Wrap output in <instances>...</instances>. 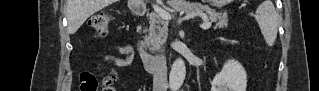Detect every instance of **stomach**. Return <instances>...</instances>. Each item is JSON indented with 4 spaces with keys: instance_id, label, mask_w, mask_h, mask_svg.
I'll list each match as a JSON object with an SVG mask.
<instances>
[{
    "instance_id": "1",
    "label": "stomach",
    "mask_w": 319,
    "mask_h": 91,
    "mask_svg": "<svg viewBox=\"0 0 319 91\" xmlns=\"http://www.w3.org/2000/svg\"><path fill=\"white\" fill-rule=\"evenodd\" d=\"M224 2H227V1H220L219 3H222V4H223Z\"/></svg>"
}]
</instances>
